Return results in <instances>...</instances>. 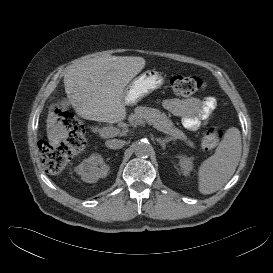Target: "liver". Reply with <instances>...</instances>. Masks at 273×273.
<instances>
[{
    "instance_id": "obj_1",
    "label": "liver",
    "mask_w": 273,
    "mask_h": 273,
    "mask_svg": "<svg viewBox=\"0 0 273 273\" xmlns=\"http://www.w3.org/2000/svg\"><path fill=\"white\" fill-rule=\"evenodd\" d=\"M146 62L135 56H100L72 66L64 76L65 92L75 111L85 119L117 123L125 119L124 90ZM47 138L53 148L69 136L62 120L49 107Z\"/></svg>"
}]
</instances>
